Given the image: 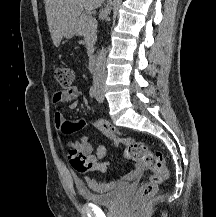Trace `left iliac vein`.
Listing matches in <instances>:
<instances>
[{
    "instance_id": "4c4485c4",
    "label": "left iliac vein",
    "mask_w": 216,
    "mask_h": 217,
    "mask_svg": "<svg viewBox=\"0 0 216 217\" xmlns=\"http://www.w3.org/2000/svg\"><path fill=\"white\" fill-rule=\"evenodd\" d=\"M103 99V90H99L96 96V100L101 103L103 102Z\"/></svg>"
}]
</instances>
